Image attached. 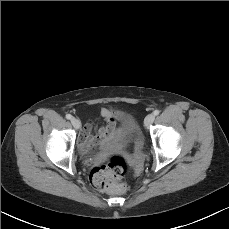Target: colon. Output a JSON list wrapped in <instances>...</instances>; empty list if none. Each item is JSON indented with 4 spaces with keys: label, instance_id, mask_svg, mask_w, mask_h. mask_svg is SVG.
<instances>
[{
    "label": "colon",
    "instance_id": "obj_1",
    "mask_svg": "<svg viewBox=\"0 0 229 229\" xmlns=\"http://www.w3.org/2000/svg\"><path fill=\"white\" fill-rule=\"evenodd\" d=\"M127 162L124 157L113 154L107 162L93 168L90 172L91 184L101 191L124 193L125 185L121 179L126 173Z\"/></svg>",
    "mask_w": 229,
    "mask_h": 229
}]
</instances>
